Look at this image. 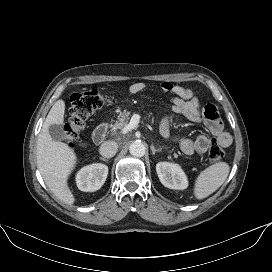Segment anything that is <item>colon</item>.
<instances>
[{
    "instance_id": "obj_1",
    "label": "colon",
    "mask_w": 272,
    "mask_h": 272,
    "mask_svg": "<svg viewBox=\"0 0 272 272\" xmlns=\"http://www.w3.org/2000/svg\"><path fill=\"white\" fill-rule=\"evenodd\" d=\"M108 99V96L96 90L72 95L69 116L64 125V137L68 145L74 144L90 116L102 108ZM208 157L214 163L221 162L224 157V151L216 140L209 147Z\"/></svg>"
}]
</instances>
